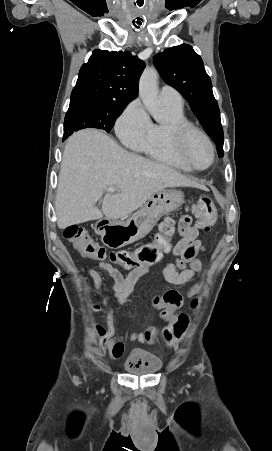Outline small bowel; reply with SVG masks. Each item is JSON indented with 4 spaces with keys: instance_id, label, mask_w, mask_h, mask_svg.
Wrapping results in <instances>:
<instances>
[{
    "instance_id": "1",
    "label": "small bowel",
    "mask_w": 272,
    "mask_h": 451,
    "mask_svg": "<svg viewBox=\"0 0 272 451\" xmlns=\"http://www.w3.org/2000/svg\"><path fill=\"white\" fill-rule=\"evenodd\" d=\"M177 231L180 235L179 241L171 249L173 262H166L162 269L167 279L174 284H181L193 279L198 272L202 270L203 264L199 255L205 252V247L199 240V231L197 227L192 225V218L189 215L181 217ZM98 267L104 270L114 281L113 296L117 304H122L129 293L132 291L139 277L151 266H144L134 270L130 275L125 277L119 269L114 267L110 262L97 261ZM175 267L181 271L176 272ZM86 273L91 277L95 292L100 294L102 287V278L100 274L90 268L86 269ZM195 287L191 288L192 291ZM165 303L171 308H178L181 305V297L178 293L171 291L164 296ZM159 302V298H154V304ZM99 304H93L94 311L100 310ZM130 341L142 342L144 337L139 332H131L127 335ZM124 350V343L121 340L116 341L110 348L109 353L112 359L119 358Z\"/></svg>"
}]
</instances>
